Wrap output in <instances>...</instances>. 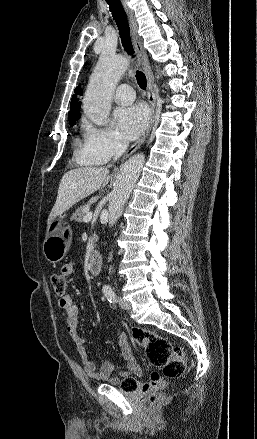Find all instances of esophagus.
Instances as JSON below:
<instances>
[{
  "mask_svg": "<svg viewBox=\"0 0 257 439\" xmlns=\"http://www.w3.org/2000/svg\"><path fill=\"white\" fill-rule=\"evenodd\" d=\"M123 7L126 11V14L128 16L129 25H130V31L132 36V41L134 44L135 51L137 53L138 59L143 67V70L145 72L146 78H147V95H148V102L150 105V120L148 127L144 134L126 151V153L123 156V159L128 158L130 155H132L137 149L140 148V146L144 143L145 139L147 138L155 117V110H156V95L153 87V74L151 71V67L149 64L148 56L146 53V50L143 47V42L141 37L138 34V25L137 21L133 15V12L127 5V0H122Z\"/></svg>",
  "mask_w": 257,
  "mask_h": 439,
  "instance_id": "obj_1",
  "label": "esophagus"
}]
</instances>
